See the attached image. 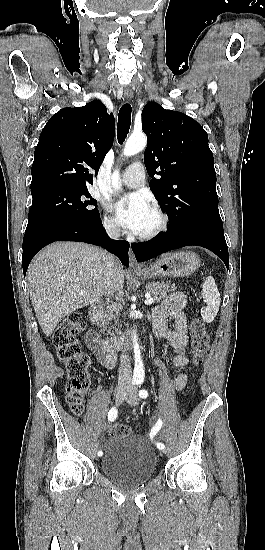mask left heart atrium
<instances>
[{
  "label": "left heart atrium",
  "mask_w": 265,
  "mask_h": 550,
  "mask_svg": "<svg viewBox=\"0 0 265 550\" xmlns=\"http://www.w3.org/2000/svg\"><path fill=\"white\" fill-rule=\"evenodd\" d=\"M113 211L123 228L138 234L151 212V207L143 194L132 193L116 201Z\"/></svg>",
  "instance_id": "1"
}]
</instances>
